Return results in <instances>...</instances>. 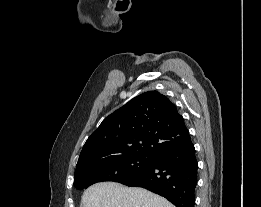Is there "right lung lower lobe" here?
Instances as JSON below:
<instances>
[{
    "label": "right lung lower lobe",
    "mask_w": 261,
    "mask_h": 207,
    "mask_svg": "<svg viewBox=\"0 0 261 207\" xmlns=\"http://www.w3.org/2000/svg\"><path fill=\"white\" fill-rule=\"evenodd\" d=\"M197 169L195 148L189 140L181 147L153 156L145 169L119 183L146 188L176 207H194Z\"/></svg>",
    "instance_id": "obj_1"
}]
</instances>
